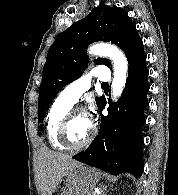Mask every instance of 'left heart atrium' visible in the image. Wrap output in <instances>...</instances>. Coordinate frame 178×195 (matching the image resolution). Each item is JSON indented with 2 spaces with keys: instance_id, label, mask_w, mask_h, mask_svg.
<instances>
[{
  "instance_id": "39dd6f15",
  "label": "left heart atrium",
  "mask_w": 178,
  "mask_h": 195,
  "mask_svg": "<svg viewBox=\"0 0 178 195\" xmlns=\"http://www.w3.org/2000/svg\"><path fill=\"white\" fill-rule=\"evenodd\" d=\"M87 118H88L89 122L92 123L93 122V113L92 112L88 113Z\"/></svg>"
}]
</instances>
